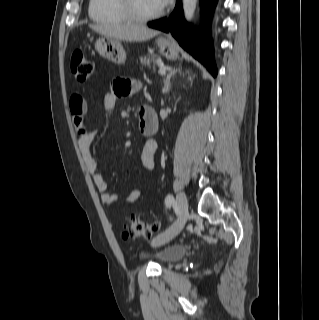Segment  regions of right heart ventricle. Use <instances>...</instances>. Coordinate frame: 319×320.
<instances>
[{"mask_svg": "<svg viewBox=\"0 0 319 320\" xmlns=\"http://www.w3.org/2000/svg\"><path fill=\"white\" fill-rule=\"evenodd\" d=\"M88 13L101 24L119 25L130 21L121 11L118 0H90Z\"/></svg>", "mask_w": 319, "mask_h": 320, "instance_id": "obj_1", "label": "right heart ventricle"}]
</instances>
